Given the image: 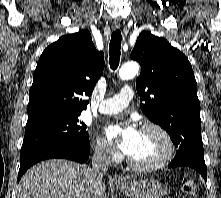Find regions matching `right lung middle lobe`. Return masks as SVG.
I'll list each match as a JSON object with an SVG mask.
<instances>
[{
  "label": "right lung middle lobe",
  "mask_w": 221,
  "mask_h": 198,
  "mask_svg": "<svg viewBox=\"0 0 221 198\" xmlns=\"http://www.w3.org/2000/svg\"><path fill=\"white\" fill-rule=\"evenodd\" d=\"M80 114H54L26 124L20 157L53 143H68L90 148L87 126L79 121Z\"/></svg>",
  "instance_id": "1"
}]
</instances>
